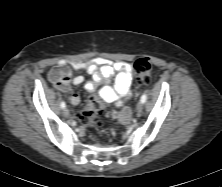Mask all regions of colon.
Masks as SVG:
<instances>
[{"label": "colon", "mask_w": 222, "mask_h": 187, "mask_svg": "<svg viewBox=\"0 0 222 187\" xmlns=\"http://www.w3.org/2000/svg\"><path fill=\"white\" fill-rule=\"evenodd\" d=\"M134 75L139 85H147L150 82L152 66L147 58H141L135 61L133 65ZM104 115V106L102 100L92 96L79 116V121L86 126L99 125Z\"/></svg>", "instance_id": "colon-1"}]
</instances>
